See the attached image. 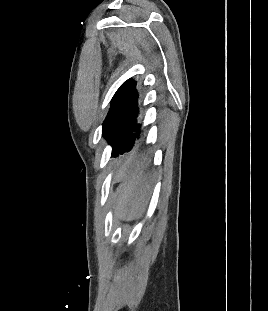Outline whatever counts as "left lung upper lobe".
I'll list each match as a JSON object with an SVG mask.
<instances>
[{
	"instance_id": "5c2ea615",
	"label": "left lung upper lobe",
	"mask_w": 268,
	"mask_h": 311,
	"mask_svg": "<svg viewBox=\"0 0 268 311\" xmlns=\"http://www.w3.org/2000/svg\"><path fill=\"white\" fill-rule=\"evenodd\" d=\"M135 86L136 81L132 78L128 79L119 87V89L116 91L115 95L112 98L111 107L103 122L102 130V136L105 137L108 143H110L117 129L119 119L118 117Z\"/></svg>"
}]
</instances>
